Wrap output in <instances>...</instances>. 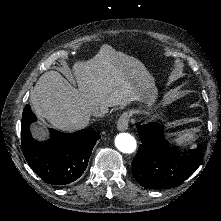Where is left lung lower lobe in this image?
I'll return each instance as SVG.
<instances>
[{
    "label": "left lung lower lobe",
    "mask_w": 221,
    "mask_h": 221,
    "mask_svg": "<svg viewBox=\"0 0 221 221\" xmlns=\"http://www.w3.org/2000/svg\"><path fill=\"white\" fill-rule=\"evenodd\" d=\"M137 128L142 144L132 161V173L141 186L152 189L176 187L202 163L200 145L180 155L178 147L170 146L165 140L162 125L137 123Z\"/></svg>",
    "instance_id": "obj_1"
}]
</instances>
